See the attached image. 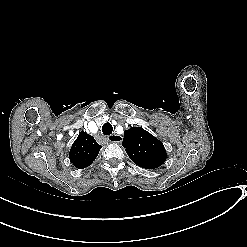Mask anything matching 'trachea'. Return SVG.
I'll list each match as a JSON object with an SVG mask.
<instances>
[{"instance_id": "1", "label": "trachea", "mask_w": 247, "mask_h": 247, "mask_svg": "<svg viewBox=\"0 0 247 247\" xmlns=\"http://www.w3.org/2000/svg\"><path fill=\"white\" fill-rule=\"evenodd\" d=\"M113 132V127L109 122H106L103 126H102V133L105 135H110Z\"/></svg>"}]
</instances>
